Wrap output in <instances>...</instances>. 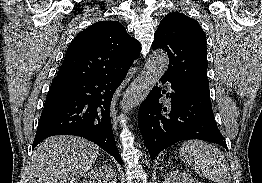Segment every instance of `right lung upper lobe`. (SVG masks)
I'll return each instance as SVG.
<instances>
[{
	"mask_svg": "<svg viewBox=\"0 0 262 183\" xmlns=\"http://www.w3.org/2000/svg\"><path fill=\"white\" fill-rule=\"evenodd\" d=\"M140 50V43L121 23L96 22L71 42L55 80L123 73L139 57Z\"/></svg>",
	"mask_w": 262,
	"mask_h": 183,
	"instance_id": "cb5924a9",
	"label": "right lung upper lobe"
}]
</instances>
